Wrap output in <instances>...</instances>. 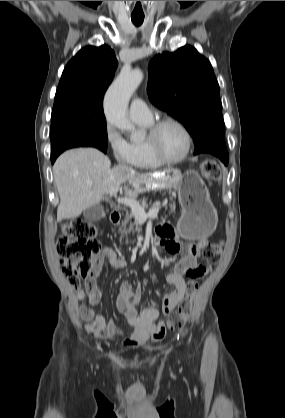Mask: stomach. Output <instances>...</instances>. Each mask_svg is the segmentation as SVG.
Returning <instances> with one entry per match:
<instances>
[{
	"instance_id": "obj_1",
	"label": "stomach",
	"mask_w": 285,
	"mask_h": 418,
	"mask_svg": "<svg viewBox=\"0 0 285 418\" xmlns=\"http://www.w3.org/2000/svg\"><path fill=\"white\" fill-rule=\"evenodd\" d=\"M182 214L177 228L182 238L198 240L210 236L217 225V212L202 178L194 170L187 171L178 187Z\"/></svg>"
}]
</instances>
